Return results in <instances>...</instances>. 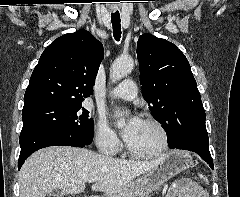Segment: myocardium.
I'll use <instances>...</instances> for the list:
<instances>
[{
	"mask_svg": "<svg viewBox=\"0 0 240 197\" xmlns=\"http://www.w3.org/2000/svg\"><path fill=\"white\" fill-rule=\"evenodd\" d=\"M143 121L153 125L158 130L159 135H160L159 146L155 150H152V151L140 152V151H136V150L132 149L131 147H129L128 144H126V151L130 156H132L134 158H139V159H148V158L158 157L161 154H163L166 151V149L168 148V144H169L168 132H167L165 126L163 125V123L154 117L147 116L144 118Z\"/></svg>",
	"mask_w": 240,
	"mask_h": 197,
	"instance_id": "obj_1",
	"label": "myocardium"
}]
</instances>
